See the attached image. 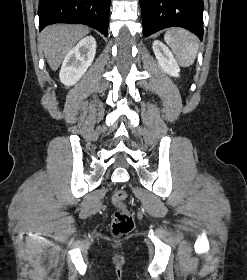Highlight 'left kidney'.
Segmentation results:
<instances>
[{"instance_id": "obj_1", "label": "left kidney", "mask_w": 247, "mask_h": 280, "mask_svg": "<svg viewBox=\"0 0 247 280\" xmlns=\"http://www.w3.org/2000/svg\"><path fill=\"white\" fill-rule=\"evenodd\" d=\"M153 52L160 68L173 77H178L180 68L169 48L159 40L152 44Z\"/></svg>"}]
</instances>
